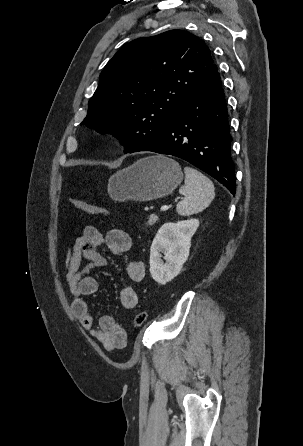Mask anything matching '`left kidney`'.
<instances>
[{
    "mask_svg": "<svg viewBox=\"0 0 303 446\" xmlns=\"http://www.w3.org/2000/svg\"><path fill=\"white\" fill-rule=\"evenodd\" d=\"M198 227V219L161 226L150 248V273L156 282L165 285L180 273L189 256L191 238ZM161 253H164L166 263L161 259Z\"/></svg>",
    "mask_w": 303,
    "mask_h": 446,
    "instance_id": "5707ae66",
    "label": "left kidney"
}]
</instances>
